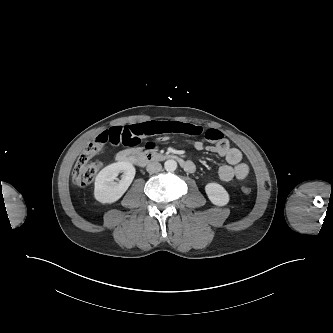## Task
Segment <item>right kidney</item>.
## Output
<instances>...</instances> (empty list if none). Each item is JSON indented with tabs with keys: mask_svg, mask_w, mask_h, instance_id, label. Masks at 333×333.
<instances>
[{
	"mask_svg": "<svg viewBox=\"0 0 333 333\" xmlns=\"http://www.w3.org/2000/svg\"><path fill=\"white\" fill-rule=\"evenodd\" d=\"M135 172V167L128 162H116L104 167L95 179V199L102 204L119 200L132 183ZM119 173H123L122 178L115 182Z\"/></svg>",
	"mask_w": 333,
	"mask_h": 333,
	"instance_id": "1",
	"label": "right kidney"
}]
</instances>
